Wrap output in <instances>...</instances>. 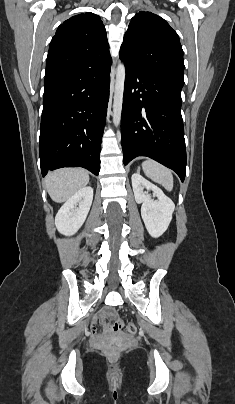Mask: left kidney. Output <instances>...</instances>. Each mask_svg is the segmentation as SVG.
Returning a JSON list of instances; mask_svg holds the SVG:
<instances>
[{
	"label": "left kidney",
	"instance_id": "obj_1",
	"mask_svg": "<svg viewBox=\"0 0 235 404\" xmlns=\"http://www.w3.org/2000/svg\"><path fill=\"white\" fill-rule=\"evenodd\" d=\"M131 180L135 200L137 203H142L141 216L145 227L153 238H158L167 230L172 220L175 205L160 188L146 180L139 173H134ZM144 188L151 190L157 200L154 201L144 191Z\"/></svg>",
	"mask_w": 235,
	"mask_h": 404
}]
</instances>
